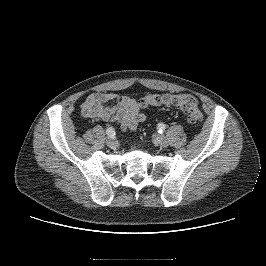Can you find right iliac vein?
I'll list each match as a JSON object with an SVG mask.
<instances>
[{
  "label": "right iliac vein",
  "mask_w": 266,
  "mask_h": 266,
  "mask_svg": "<svg viewBox=\"0 0 266 266\" xmlns=\"http://www.w3.org/2000/svg\"><path fill=\"white\" fill-rule=\"evenodd\" d=\"M106 144L110 147V148H115L117 145V141L114 137H109L106 140Z\"/></svg>",
  "instance_id": "1"
}]
</instances>
